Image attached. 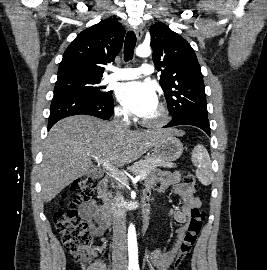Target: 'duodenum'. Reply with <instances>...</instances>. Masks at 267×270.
I'll list each match as a JSON object with an SVG mask.
<instances>
[{"instance_id": "410a0bca", "label": "duodenum", "mask_w": 267, "mask_h": 270, "mask_svg": "<svg viewBox=\"0 0 267 270\" xmlns=\"http://www.w3.org/2000/svg\"><path fill=\"white\" fill-rule=\"evenodd\" d=\"M109 179L107 176L100 179L97 185V196L99 200L103 203L104 207L108 210L109 217L116 223L120 224L122 222V212L120 209L115 207L109 200L107 188ZM149 199L144 197L143 199V214L141 219V227L144 228L148 224L149 220Z\"/></svg>"}]
</instances>
